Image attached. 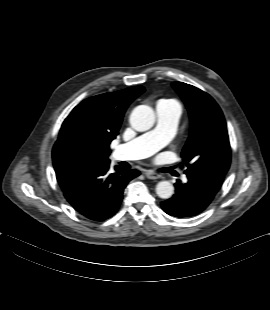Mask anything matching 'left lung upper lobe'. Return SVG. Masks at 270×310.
<instances>
[{
	"instance_id": "1",
	"label": "left lung upper lobe",
	"mask_w": 270,
	"mask_h": 310,
	"mask_svg": "<svg viewBox=\"0 0 270 310\" xmlns=\"http://www.w3.org/2000/svg\"><path fill=\"white\" fill-rule=\"evenodd\" d=\"M187 105L191 132L182 151L187 172L224 178L231 150L223 113L214 99L202 90L182 82L172 83Z\"/></svg>"
}]
</instances>
